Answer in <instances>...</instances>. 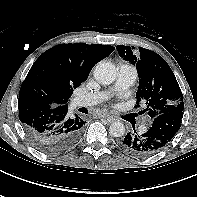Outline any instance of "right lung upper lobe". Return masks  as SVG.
Wrapping results in <instances>:
<instances>
[{
  "label": "right lung upper lobe",
  "instance_id": "obj_1",
  "mask_svg": "<svg viewBox=\"0 0 197 197\" xmlns=\"http://www.w3.org/2000/svg\"><path fill=\"white\" fill-rule=\"evenodd\" d=\"M109 45L61 44L44 52L32 65L20 94L52 107L67 105L73 89L84 82L93 66L114 51Z\"/></svg>",
  "mask_w": 197,
  "mask_h": 197
}]
</instances>
